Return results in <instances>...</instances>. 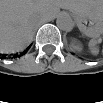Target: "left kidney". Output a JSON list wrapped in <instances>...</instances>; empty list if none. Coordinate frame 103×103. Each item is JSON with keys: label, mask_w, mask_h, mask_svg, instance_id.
Listing matches in <instances>:
<instances>
[{"label": "left kidney", "mask_w": 103, "mask_h": 103, "mask_svg": "<svg viewBox=\"0 0 103 103\" xmlns=\"http://www.w3.org/2000/svg\"><path fill=\"white\" fill-rule=\"evenodd\" d=\"M75 49L80 50L81 49L80 45H76Z\"/></svg>", "instance_id": "left-kidney-1"}]
</instances>
